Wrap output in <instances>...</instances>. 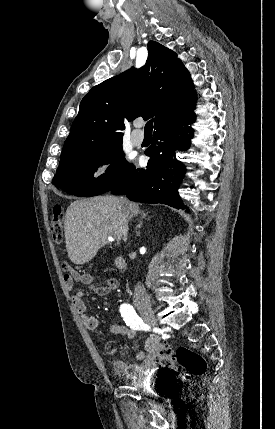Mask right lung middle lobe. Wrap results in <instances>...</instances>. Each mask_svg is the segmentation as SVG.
<instances>
[{"mask_svg":"<svg viewBox=\"0 0 275 429\" xmlns=\"http://www.w3.org/2000/svg\"><path fill=\"white\" fill-rule=\"evenodd\" d=\"M108 163L111 164L106 173L94 178L97 168ZM132 167L124 159L120 139L98 150L61 161L52 181L69 194L79 197L96 196L119 185Z\"/></svg>","mask_w":275,"mask_h":429,"instance_id":"obj_1","label":"right lung middle lobe"}]
</instances>
